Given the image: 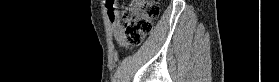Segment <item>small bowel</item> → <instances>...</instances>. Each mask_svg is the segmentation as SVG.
<instances>
[{"label": "small bowel", "mask_w": 279, "mask_h": 82, "mask_svg": "<svg viewBox=\"0 0 279 82\" xmlns=\"http://www.w3.org/2000/svg\"><path fill=\"white\" fill-rule=\"evenodd\" d=\"M116 7V2L107 4L108 19L111 25L115 41L121 46H126L127 44L125 42L124 29L120 25L119 18L117 17Z\"/></svg>", "instance_id": "obj_1"}]
</instances>
